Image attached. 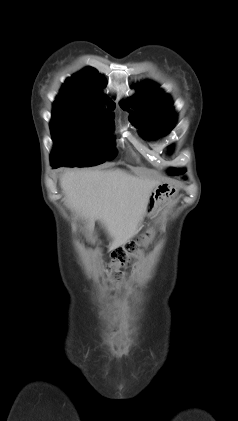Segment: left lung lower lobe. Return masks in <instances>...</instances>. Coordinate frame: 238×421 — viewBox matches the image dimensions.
<instances>
[{
    "label": "left lung lower lobe",
    "mask_w": 238,
    "mask_h": 421,
    "mask_svg": "<svg viewBox=\"0 0 238 421\" xmlns=\"http://www.w3.org/2000/svg\"><path fill=\"white\" fill-rule=\"evenodd\" d=\"M172 175H177L176 173H171Z\"/></svg>",
    "instance_id": "obj_1"
}]
</instances>
